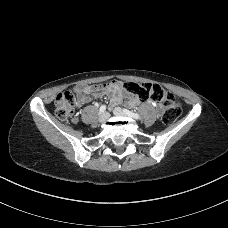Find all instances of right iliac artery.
Masks as SVG:
<instances>
[{
	"mask_svg": "<svg viewBox=\"0 0 228 228\" xmlns=\"http://www.w3.org/2000/svg\"><path fill=\"white\" fill-rule=\"evenodd\" d=\"M106 111V105H102L100 108H99V112L100 113H104Z\"/></svg>",
	"mask_w": 228,
	"mask_h": 228,
	"instance_id": "1",
	"label": "right iliac artery"
}]
</instances>
